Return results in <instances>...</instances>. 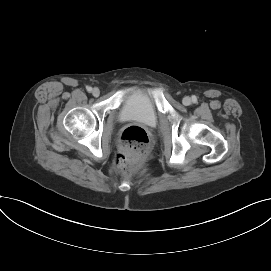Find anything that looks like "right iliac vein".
Segmentation results:
<instances>
[{
  "label": "right iliac vein",
  "mask_w": 271,
  "mask_h": 271,
  "mask_svg": "<svg viewBox=\"0 0 271 271\" xmlns=\"http://www.w3.org/2000/svg\"><path fill=\"white\" fill-rule=\"evenodd\" d=\"M99 94H100V90H99L98 88L92 89V95H93L94 97H98Z\"/></svg>",
  "instance_id": "obj_1"
}]
</instances>
